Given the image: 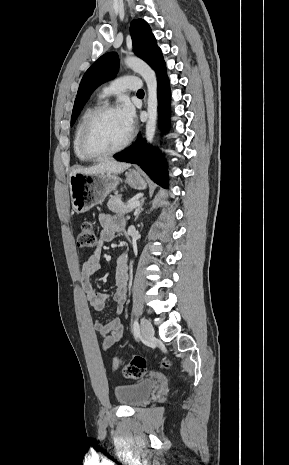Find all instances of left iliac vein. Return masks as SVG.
I'll return each mask as SVG.
<instances>
[{
    "label": "left iliac vein",
    "mask_w": 289,
    "mask_h": 465,
    "mask_svg": "<svg viewBox=\"0 0 289 465\" xmlns=\"http://www.w3.org/2000/svg\"><path fill=\"white\" fill-rule=\"evenodd\" d=\"M141 332H142L143 337H144L146 340H151L152 337L154 336V329H153V326H152V324L150 323V321H148L147 319H142V322H141Z\"/></svg>",
    "instance_id": "1"
}]
</instances>
